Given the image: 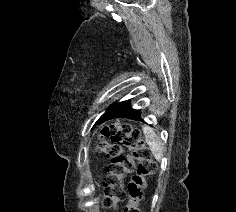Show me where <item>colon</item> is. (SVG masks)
I'll return each mask as SVG.
<instances>
[{
	"label": "colon",
	"instance_id": "obj_1",
	"mask_svg": "<svg viewBox=\"0 0 236 212\" xmlns=\"http://www.w3.org/2000/svg\"><path fill=\"white\" fill-rule=\"evenodd\" d=\"M107 136H111V142L106 141ZM95 149L110 159L104 181L103 206L115 208L128 198L129 202L122 212H140L139 204L147 179L155 173L156 165L138 132L116 121L103 129ZM127 174H131V177L124 187Z\"/></svg>",
	"mask_w": 236,
	"mask_h": 212
}]
</instances>
